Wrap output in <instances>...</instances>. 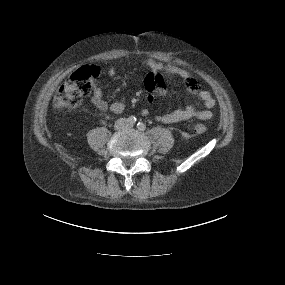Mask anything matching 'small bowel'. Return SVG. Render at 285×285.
<instances>
[{
    "instance_id": "obj_1",
    "label": "small bowel",
    "mask_w": 285,
    "mask_h": 285,
    "mask_svg": "<svg viewBox=\"0 0 285 285\" xmlns=\"http://www.w3.org/2000/svg\"><path fill=\"white\" fill-rule=\"evenodd\" d=\"M143 65L150 70L144 81L147 96L150 101L153 102L155 99L165 95L166 89L161 75L162 73H165L176 75L182 78L186 82L188 91L197 96V98L205 106V109L198 110L193 104H187L183 108L176 109L171 112L156 114V120L162 123H178L193 118L206 121L212 117V112L210 109L215 106L216 101L209 91L200 89L198 82L191 73L176 65L162 64L152 59L144 60ZM108 74L110 76H114L116 74L115 67H111ZM91 102L101 111L121 113L124 110V103L122 102H114L109 104L104 99L102 90L96 85H93L92 87ZM148 113V109L143 111L144 115H147Z\"/></svg>"
}]
</instances>
